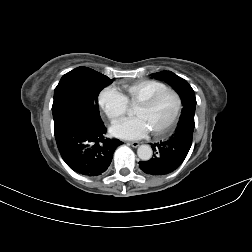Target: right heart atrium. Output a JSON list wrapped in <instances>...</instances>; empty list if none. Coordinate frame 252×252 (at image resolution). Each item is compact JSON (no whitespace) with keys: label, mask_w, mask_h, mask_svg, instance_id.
I'll use <instances>...</instances> for the list:
<instances>
[{"label":"right heart atrium","mask_w":252,"mask_h":252,"mask_svg":"<svg viewBox=\"0 0 252 252\" xmlns=\"http://www.w3.org/2000/svg\"><path fill=\"white\" fill-rule=\"evenodd\" d=\"M98 102L111 122L121 119L127 110L128 101L126 97L114 87H106L98 97Z\"/></svg>","instance_id":"right-heart-atrium-1"}]
</instances>
